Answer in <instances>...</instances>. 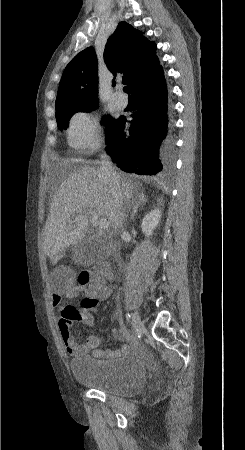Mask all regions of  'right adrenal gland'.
Masks as SVG:
<instances>
[{
	"label": "right adrenal gland",
	"instance_id": "1",
	"mask_svg": "<svg viewBox=\"0 0 245 450\" xmlns=\"http://www.w3.org/2000/svg\"><path fill=\"white\" fill-rule=\"evenodd\" d=\"M147 202V198L144 195L143 192H138L135 196V199L132 200L131 204L133 205L132 213H131V220H134V217L138 211V208L140 206H143Z\"/></svg>",
	"mask_w": 245,
	"mask_h": 450
}]
</instances>
